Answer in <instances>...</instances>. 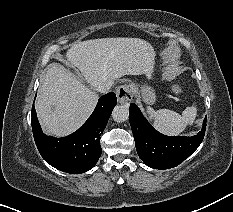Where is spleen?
<instances>
[{"label":"spleen","mask_w":233,"mask_h":212,"mask_svg":"<svg viewBox=\"0 0 233 212\" xmlns=\"http://www.w3.org/2000/svg\"><path fill=\"white\" fill-rule=\"evenodd\" d=\"M148 118L153 122V126L166 135H179L188 125L193 124L196 115V105L187 107L182 115L169 109L155 111L150 106L147 107Z\"/></svg>","instance_id":"spleen-1"}]
</instances>
